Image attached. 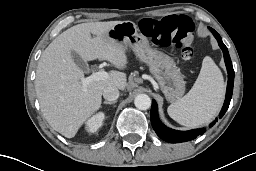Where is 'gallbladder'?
Segmentation results:
<instances>
[{
	"label": "gallbladder",
	"instance_id": "gallbladder-1",
	"mask_svg": "<svg viewBox=\"0 0 256 171\" xmlns=\"http://www.w3.org/2000/svg\"><path fill=\"white\" fill-rule=\"evenodd\" d=\"M71 56L79 68L83 70H86L88 68L87 63L76 52L72 51Z\"/></svg>",
	"mask_w": 256,
	"mask_h": 171
}]
</instances>
